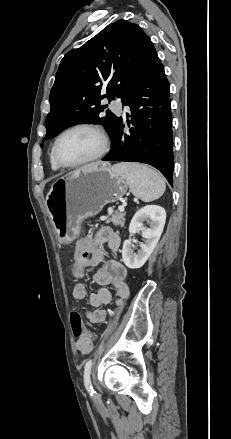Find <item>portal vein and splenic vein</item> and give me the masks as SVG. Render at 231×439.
Returning <instances> with one entry per match:
<instances>
[{"label": "portal vein and splenic vein", "mask_w": 231, "mask_h": 439, "mask_svg": "<svg viewBox=\"0 0 231 439\" xmlns=\"http://www.w3.org/2000/svg\"><path fill=\"white\" fill-rule=\"evenodd\" d=\"M125 206H126V202H123V205L122 206H119V211L120 212H124V208H125Z\"/></svg>", "instance_id": "obj_1"}]
</instances>
